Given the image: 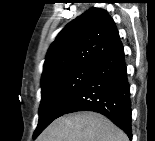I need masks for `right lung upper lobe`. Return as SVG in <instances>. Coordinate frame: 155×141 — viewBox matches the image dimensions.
Returning a JSON list of instances; mask_svg holds the SVG:
<instances>
[{
  "mask_svg": "<svg viewBox=\"0 0 155 141\" xmlns=\"http://www.w3.org/2000/svg\"><path fill=\"white\" fill-rule=\"evenodd\" d=\"M119 40L116 24L108 12L89 9L70 22L50 46L41 82L74 68H95Z\"/></svg>",
  "mask_w": 155,
  "mask_h": 141,
  "instance_id": "obj_1",
  "label": "right lung upper lobe"
}]
</instances>
